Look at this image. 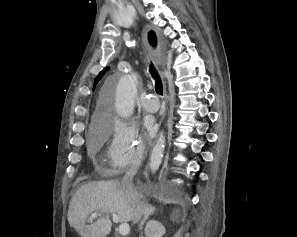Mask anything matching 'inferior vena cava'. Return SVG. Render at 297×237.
Here are the masks:
<instances>
[{"instance_id": "obj_1", "label": "inferior vena cava", "mask_w": 297, "mask_h": 237, "mask_svg": "<svg viewBox=\"0 0 297 237\" xmlns=\"http://www.w3.org/2000/svg\"><path fill=\"white\" fill-rule=\"evenodd\" d=\"M137 172L136 167H131L126 174L124 175L121 186L130 201L132 213H133V220L134 222H138L141 216L145 213V206L144 203L141 201V196L134 190L133 188V178Z\"/></svg>"}]
</instances>
